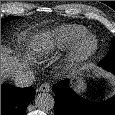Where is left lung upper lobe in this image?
Here are the masks:
<instances>
[{
  "label": "left lung upper lobe",
  "mask_w": 115,
  "mask_h": 115,
  "mask_svg": "<svg viewBox=\"0 0 115 115\" xmlns=\"http://www.w3.org/2000/svg\"><path fill=\"white\" fill-rule=\"evenodd\" d=\"M110 64H115V37L112 40V44L109 50V53L107 56L100 61L99 65L104 66V65H110Z\"/></svg>",
  "instance_id": "obj_1"
}]
</instances>
